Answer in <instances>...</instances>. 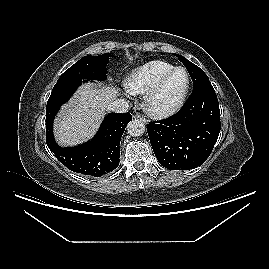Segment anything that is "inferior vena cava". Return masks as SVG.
<instances>
[{"instance_id":"obj_1","label":"inferior vena cava","mask_w":269,"mask_h":269,"mask_svg":"<svg viewBox=\"0 0 269 269\" xmlns=\"http://www.w3.org/2000/svg\"><path fill=\"white\" fill-rule=\"evenodd\" d=\"M129 108L128 101L124 99H117L113 102H111L108 106V109L110 111L116 112V113H126Z\"/></svg>"}]
</instances>
